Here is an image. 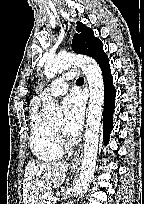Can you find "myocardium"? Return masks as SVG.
<instances>
[{
  "label": "myocardium",
  "mask_w": 144,
  "mask_h": 204,
  "mask_svg": "<svg viewBox=\"0 0 144 204\" xmlns=\"http://www.w3.org/2000/svg\"><path fill=\"white\" fill-rule=\"evenodd\" d=\"M53 130H54V132H55V134H56V136H57L58 141H61L62 136H61V134H60L59 129L56 128V127H53Z\"/></svg>",
  "instance_id": "myocardium-1"
}]
</instances>
